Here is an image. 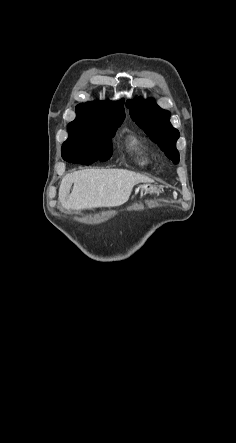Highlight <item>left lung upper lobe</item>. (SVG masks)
Instances as JSON below:
<instances>
[{
    "label": "left lung upper lobe",
    "mask_w": 236,
    "mask_h": 443,
    "mask_svg": "<svg viewBox=\"0 0 236 443\" xmlns=\"http://www.w3.org/2000/svg\"><path fill=\"white\" fill-rule=\"evenodd\" d=\"M126 105L136 124L160 146L170 160L177 164L179 153L176 141L180 135L169 121L170 112L161 109L152 99L144 100L142 97H138L135 101H127Z\"/></svg>",
    "instance_id": "5c2ea615"
}]
</instances>
